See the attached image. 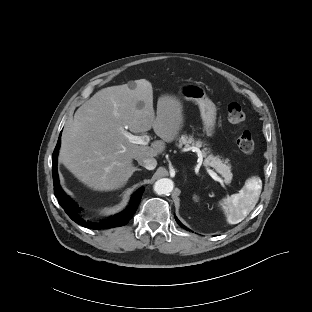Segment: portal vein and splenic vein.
Returning a JSON list of instances; mask_svg holds the SVG:
<instances>
[{"mask_svg": "<svg viewBox=\"0 0 312 312\" xmlns=\"http://www.w3.org/2000/svg\"><path fill=\"white\" fill-rule=\"evenodd\" d=\"M124 136L130 143L133 144L147 145L150 141V137L148 135L136 136L127 131H124ZM208 172L215 181H218L223 185V180L213 170L208 169Z\"/></svg>", "mask_w": 312, "mask_h": 312, "instance_id": "1", "label": "portal vein and splenic vein"}]
</instances>
